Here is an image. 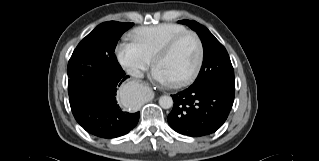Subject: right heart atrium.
Here are the masks:
<instances>
[{
	"label": "right heart atrium",
	"mask_w": 319,
	"mask_h": 161,
	"mask_svg": "<svg viewBox=\"0 0 319 161\" xmlns=\"http://www.w3.org/2000/svg\"><path fill=\"white\" fill-rule=\"evenodd\" d=\"M120 64L135 75L141 74L150 64L149 60L133 42L120 43L116 48Z\"/></svg>",
	"instance_id": "1"
}]
</instances>
